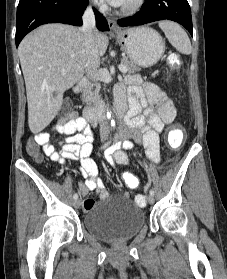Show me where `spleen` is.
Here are the masks:
<instances>
[{
  "label": "spleen",
  "instance_id": "3e777b00",
  "mask_svg": "<svg viewBox=\"0 0 227 279\" xmlns=\"http://www.w3.org/2000/svg\"><path fill=\"white\" fill-rule=\"evenodd\" d=\"M159 27L165 33L172 46L180 53L189 55L192 51L191 42L186 32L177 23L171 21L159 22Z\"/></svg>",
  "mask_w": 227,
  "mask_h": 279
}]
</instances>
